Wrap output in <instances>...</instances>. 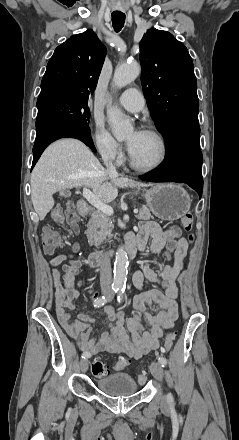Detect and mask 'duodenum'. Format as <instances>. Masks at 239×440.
<instances>
[{
  "instance_id": "duodenum-1",
  "label": "duodenum",
  "mask_w": 239,
  "mask_h": 440,
  "mask_svg": "<svg viewBox=\"0 0 239 440\" xmlns=\"http://www.w3.org/2000/svg\"><path fill=\"white\" fill-rule=\"evenodd\" d=\"M78 208H79V213L82 216H87L91 212V207H90L89 203L86 202L85 200H81L79 202ZM125 250H126L127 255L130 258L134 257L136 254L135 243L127 242ZM108 256H109V253L105 252V251L92 252L88 257V264L90 267H93V268L100 267L106 262Z\"/></svg>"
}]
</instances>
